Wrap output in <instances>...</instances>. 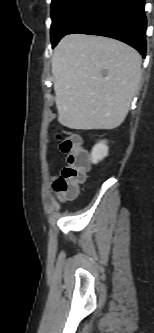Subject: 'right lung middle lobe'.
Listing matches in <instances>:
<instances>
[{"mask_svg":"<svg viewBox=\"0 0 154 333\" xmlns=\"http://www.w3.org/2000/svg\"><path fill=\"white\" fill-rule=\"evenodd\" d=\"M98 2L99 0H52V47L80 23Z\"/></svg>","mask_w":154,"mask_h":333,"instance_id":"obj_1","label":"right lung middle lobe"}]
</instances>
